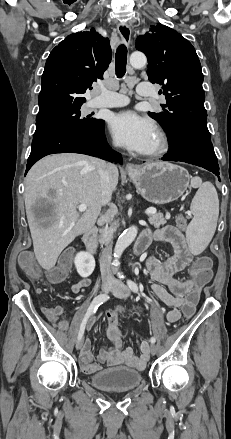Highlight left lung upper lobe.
<instances>
[{
	"label": "left lung upper lobe",
	"instance_id": "1",
	"mask_svg": "<svg viewBox=\"0 0 231 439\" xmlns=\"http://www.w3.org/2000/svg\"><path fill=\"white\" fill-rule=\"evenodd\" d=\"M136 49L148 58V78L162 85L169 111L149 116L167 133L169 142L182 136L211 140L207 128L201 64L192 44L175 30L158 24L139 36Z\"/></svg>",
	"mask_w": 231,
	"mask_h": 439
}]
</instances>
